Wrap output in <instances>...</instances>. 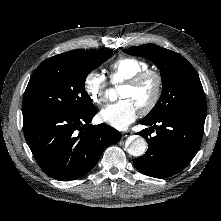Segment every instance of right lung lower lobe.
Segmentation results:
<instances>
[{"instance_id": "1", "label": "right lung lower lobe", "mask_w": 221, "mask_h": 221, "mask_svg": "<svg viewBox=\"0 0 221 221\" xmlns=\"http://www.w3.org/2000/svg\"><path fill=\"white\" fill-rule=\"evenodd\" d=\"M96 113V108L80 115L23 113L26 142L48 176L68 181L86 174L104 149L121 139L111 126L90 124Z\"/></svg>"}]
</instances>
